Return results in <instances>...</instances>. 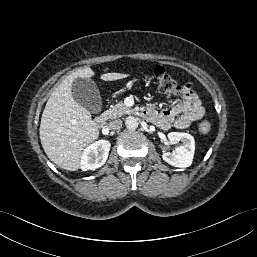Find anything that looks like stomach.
<instances>
[{
    "mask_svg": "<svg viewBox=\"0 0 257 257\" xmlns=\"http://www.w3.org/2000/svg\"><path fill=\"white\" fill-rule=\"evenodd\" d=\"M121 92H124V90H121ZM120 92H117L116 94H119Z\"/></svg>",
    "mask_w": 257,
    "mask_h": 257,
    "instance_id": "0dacf381",
    "label": "stomach"
}]
</instances>
